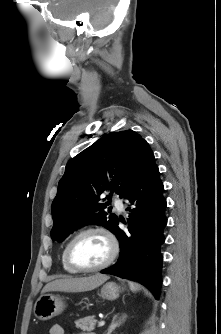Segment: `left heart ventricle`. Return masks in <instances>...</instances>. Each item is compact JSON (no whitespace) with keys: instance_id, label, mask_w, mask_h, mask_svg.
I'll return each mask as SVG.
<instances>
[{"instance_id":"obj_1","label":"left heart ventricle","mask_w":221,"mask_h":334,"mask_svg":"<svg viewBox=\"0 0 221 334\" xmlns=\"http://www.w3.org/2000/svg\"><path fill=\"white\" fill-rule=\"evenodd\" d=\"M110 254V243L101 233L80 236L71 248L72 261L80 267H93L104 262Z\"/></svg>"}]
</instances>
